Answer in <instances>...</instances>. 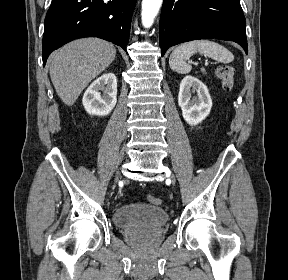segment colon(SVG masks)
<instances>
[{
  "instance_id": "colon-1",
  "label": "colon",
  "mask_w": 288,
  "mask_h": 280,
  "mask_svg": "<svg viewBox=\"0 0 288 280\" xmlns=\"http://www.w3.org/2000/svg\"><path fill=\"white\" fill-rule=\"evenodd\" d=\"M217 76L222 82V86L225 90L232 89L234 84V70L231 66L222 65L217 69ZM148 201L154 205H161L162 199L154 196H148Z\"/></svg>"
}]
</instances>
